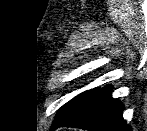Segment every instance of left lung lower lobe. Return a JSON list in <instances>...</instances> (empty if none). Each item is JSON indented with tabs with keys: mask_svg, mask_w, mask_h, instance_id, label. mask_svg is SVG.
I'll use <instances>...</instances> for the list:
<instances>
[{
	"mask_svg": "<svg viewBox=\"0 0 147 131\" xmlns=\"http://www.w3.org/2000/svg\"><path fill=\"white\" fill-rule=\"evenodd\" d=\"M123 104L111 97V87L97 90L91 98L71 117L56 124L59 127H74L90 131H131L122 117Z\"/></svg>",
	"mask_w": 147,
	"mask_h": 131,
	"instance_id": "0a47b994",
	"label": "left lung lower lobe"
}]
</instances>
